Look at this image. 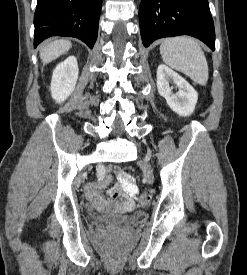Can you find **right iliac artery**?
<instances>
[{"label": "right iliac artery", "mask_w": 247, "mask_h": 275, "mask_svg": "<svg viewBox=\"0 0 247 275\" xmlns=\"http://www.w3.org/2000/svg\"><path fill=\"white\" fill-rule=\"evenodd\" d=\"M96 173L98 174V177L100 180L104 179L105 174L107 173V170H106V167H104V164H97Z\"/></svg>", "instance_id": "obj_1"}]
</instances>
